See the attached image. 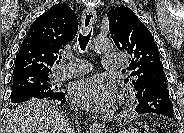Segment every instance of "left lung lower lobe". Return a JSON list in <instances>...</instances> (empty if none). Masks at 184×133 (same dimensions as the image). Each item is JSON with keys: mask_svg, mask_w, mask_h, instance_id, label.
<instances>
[{"mask_svg": "<svg viewBox=\"0 0 184 133\" xmlns=\"http://www.w3.org/2000/svg\"><path fill=\"white\" fill-rule=\"evenodd\" d=\"M163 73H158L153 83L141 93H136L138 105L135 111L138 114L156 113L174 119L173 105L169 98L167 84ZM161 94V98H158Z\"/></svg>", "mask_w": 184, "mask_h": 133, "instance_id": "0a47b994", "label": "left lung lower lobe"}]
</instances>
